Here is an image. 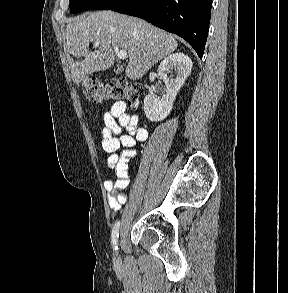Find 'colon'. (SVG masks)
<instances>
[{
    "instance_id": "obj_1",
    "label": "colon",
    "mask_w": 288,
    "mask_h": 293,
    "mask_svg": "<svg viewBox=\"0 0 288 293\" xmlns=\"http://www.w3.org/2000/svg\"><path fill=\"white\" fill-rule=\"evenodd\" d=\"M84 95L94 102L124 100L131 108L139 105L142 89L124 79L103 82L96 77H86L82 82Z\"/></svg>"
}]
</instances>
